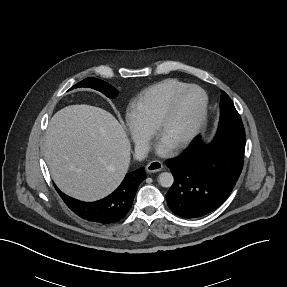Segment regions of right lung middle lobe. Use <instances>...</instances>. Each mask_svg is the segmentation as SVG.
<instances>
[{
	"instance_id": "right-lung-middle-lobe-1",
	"label": "right lung middle lobe",
	"mask_w": 287,
	"mask_h": 287,
	"mask_svg": "<svg viewBox=\"0 0 287 287\" xmlns=\"http://www.w3.org/2000/svg\"><path fill=\"white\" fill-rule=\"evenodd\" d=\"M78 87H90L95 90H98L102 92L104 95H106L109 98H115L118 95V91L109 85L108 83L96 79V78H87L76 84L73 88H78Z\"/></svg>"
}]
</instances>
